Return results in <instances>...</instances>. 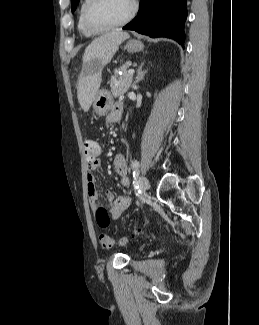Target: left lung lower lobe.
Masks as SVG:
<instances>
[{
    "instance_id": "obj_1",
    "label": "left lung lower lobe",
    "mask_w": 259,
    "mask_h": 325,
    "mask_svg": "<svg viewBox=\"0 0 259 325\" xmlns=\"http://www.w3.org/2000/svg\"><path fill=\"white\" fill-rule=\"evenodd\" d=\"M187 0H141L137 17L123 27L150 37H168L183 46Z\"/></svg>"
}]
</instances>
